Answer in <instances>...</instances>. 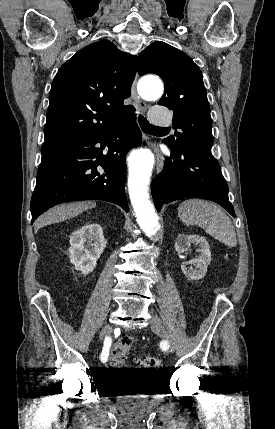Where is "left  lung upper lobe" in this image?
<instances>
[{
    "mask_svg": "<svg viewBox=\"0 0 275 429\" xmlns=\"http://www.w3.org/2000/svg\"><path fill=\"white\" fill-rule=\"evenodd\" d=\"M138 73L140 76L154 73L164 81L165 93L158 104L173 110L176 130L164 143L175 150L188 146L211 150L210 106L202 73L193 60L179 49L158 41L138 55Z\"/></svg>",
    "mask_w": 275,
    "mask_h": 429,
    "instance_id": "obj_1",
    "label": "left lung upper lobe"
}]
</instances>
